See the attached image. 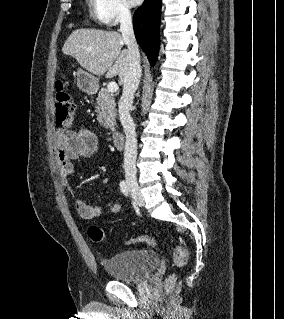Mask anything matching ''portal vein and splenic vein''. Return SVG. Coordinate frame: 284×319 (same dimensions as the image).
<instances>
[{"label":"portal vein and splenic vein","mask_w":284,"mask_h":319,"mask_svg":"<svg viewBox=\"0 0 284 319\" xmlns=\"http://www.w3.org/2000/svg\"><path fill=\"white\" fill-rule=\"evenodd\" d=\"M118 85L116 82H110L108 85H107V90L108 92L110 93H114L118 90Z\"/></svg>","instance_id":"portal-vein-and-splenic-vein-1"}]
</instances>
